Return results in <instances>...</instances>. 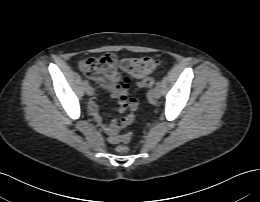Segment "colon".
Returning <instances> with one entry per match:
<instances>
[{
    "label": "colon",
    "instance_id": "5ec220e1",
    "mask_svg": "<svg viewBox=\"0 0 260 202\" xmlns=\"http://www.w3.org/2000/svg\"><path fill=\"white\" fill-rule=\"evenodd\" d=\"M159 62L153 57H131L117 61L113 54H105L98 58L84 59L79 63V69L86 77L99 83H108L118 76V70L133 78H139L138 88L151 87L155 80L149 76L158 66ZM133 132H127L117 137L118 142L128 143ZM119 153H126L128 148L120 145Z\"/></svg>",
    "mask_w": 260,
    "mask_h": 202
}]
</instances>
